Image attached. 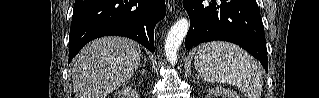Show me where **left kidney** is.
<instances>
[{
	"label": "left kidney",
	"instance_id": "obj_1",
	"mask_svg": "<svg viewBox=\"0 0 319 98\" xmlns=\"http://www.w3.org/2000/svg\"><path fill=\"white\" fill-rule=\"evenodd\" d=\"M240 96L232 91L224 88L215 87L209 90L206 98H239Z\"/></svg>",
	"mask_w": 319,
	"mask_h": 98
}]
</instances>
